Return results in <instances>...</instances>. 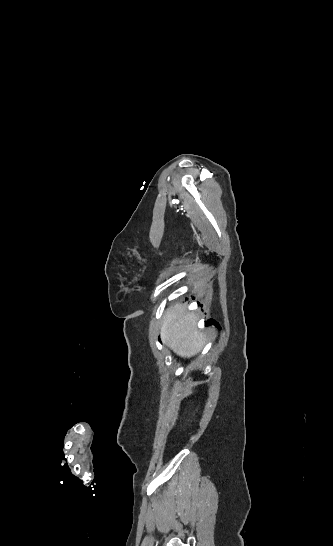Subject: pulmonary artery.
Segmentation results:
<instances>
[{"mask_svg":"<svg viewBox=\"0 0 333 546\" xmlns=\"http://www.w3.org/2000/svg\"><path fill=\"white\" fill-rule=\"evenodd\" d=\"M273 14H283V13H281V12H276V13H273Z\"/></svg>","mask_w":333,"mask_h":546,"instance_id":"e3ab8cb5","label":"pulmonary artery"}]
</instances>
